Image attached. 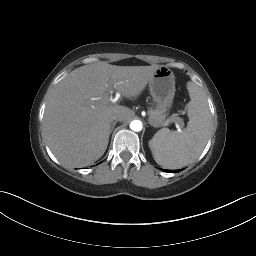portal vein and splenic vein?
<instances>
[{
    "label": "portal vein and splenic vein",
    "mask_w": 256,
    "mask_h": 256,
    "mask_svg": "<svg viewBox=\"0 0 256 256\" xmlns=\"http://www.w3.org/2000/svg\"><path fill=\"white\" fill-rule=\"evenodd\" d=\"M174 121H176L180 126H183V125H184L183 119L180 118V117H174ZM149 124L152 125V126H154V127H156L155 124H153V123H150V122H149ZM179 125L177 126V128H178L177 130H178V132H181V129H180V126H179Z\"/></svg>",
    "instance_id": "1"
}]
</instances>
